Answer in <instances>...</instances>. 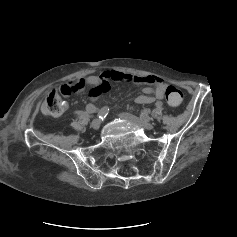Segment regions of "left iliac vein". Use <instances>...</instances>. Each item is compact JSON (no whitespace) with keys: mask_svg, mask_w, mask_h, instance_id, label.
I'll return each instance as SVG.
<instances>
[{"mask_svg":"<svg viewBox=\"0 0 237 237\" xmlns=\"http://www.w3.org/2000/svg\"><path fill=\"white\" fill-rule=\"evenodd\" d=\"M118 116L122 119H125V120L135 124V125H138L140 128H143L145 130H151L154 128V125L152 123L144 122L143 120H141L131 114L119 113Z\"/></svg>","mask_w":237,"mask_h":237,"instance_id":"4c4485c4","label":"left iliac vein"}]
</instances>
